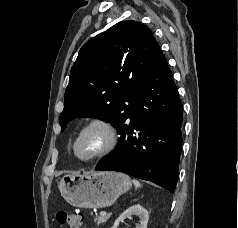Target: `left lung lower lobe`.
Wrapping results in <instances>:
<instances>
[{
	"instance_id": "left-lung-lower-lobe-1",
	"label": "left lung lower lobe",
	"mask_w": 238,
	"mask_h": 228,
	"mask_svg": "<svg viewBox=\"0 0 238 228\" xmlns=\"http://www.w3.org/2000/svg\"><path fill=\"white\" fill-rule=\"evenodd\" d=\"M183 107L166 59L159 50L131 110L119 144L95 170L119 171L174 192L178 180Z\"/></svg>"
}]
</instances>
